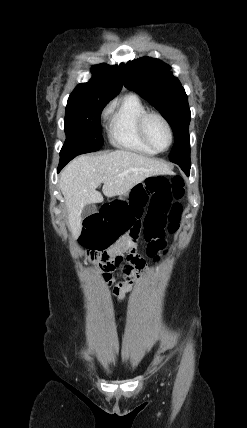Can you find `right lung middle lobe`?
<instances>
[{
  "mask_svg": "<svg viewBox=\"0 0 247 428\" xmlns=\"http://www.w3.org/2000/svg\"><path fill=\"white\" fill-rule=\"evenodd\" d=\"M109 101L90 95H71L65 113L66 141L60 157L77 156L101 149L100 116Z\"/></svg>",
  "mask_w": 247,
  "mask_h": 428,
  "instance_id": "dd1d6c3e",
  "label": "right lung middle lobe"
}]
</instances>
